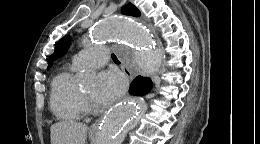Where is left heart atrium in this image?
<instances>
[{
    "label": "left heart atrium",
    "instance_id": "left-heart-atrium-1",
    "mask_svg": "<svg viewBox=\"0 0 260 144\" xmlns=\"http://www.w3.org/2000/svg\"><path fill=\"white\" fill-rule=\"evenodd\" d=\"M126 80L115 69L100 73L97 86L93 92V99L97 105H107L119 98L125 91Z\"/></svg>",
    "mask_w": 260,
    "mask_h": 144
}]
</instances>
